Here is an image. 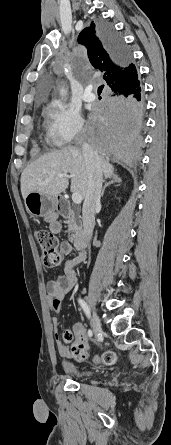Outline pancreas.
<instances>
[{"instance_id":"1","label":"pancreas","mask_w":171,"mask_h":445,"mask_svg":"<svg viewBox=\"0 0 171 445\" xmlns=\"http://www.w3.org/2000/svg\"><path fill=\"white\" fill-rule=\"evenodd\" d=\"M68 224V238L71 242L80 238L82 232V224L79 216L75 214L73 209L69 208L68 215L65 217Z\"/></svg>"}]
</instances>
